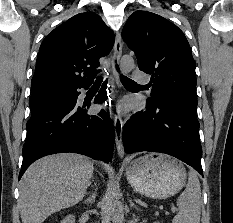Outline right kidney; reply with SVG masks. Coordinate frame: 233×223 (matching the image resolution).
Instances as JSON below:
<instances>
[{
    "mask_svg": "<svg viewBox=\"0 0 233 223\" xmlns=\"http://www.w3.org/2000/svg\"><path fill=\"white\" fill-rule=\"evenodd\" d=\"M61 223H75L74 215H66V217L62 219Z\"/></svg>",
    "mask_w": 233,
    "mask_h": 223,
    "instance_id": "ca27d5eb",
    "label": "right kidney"
}]
</instances>
